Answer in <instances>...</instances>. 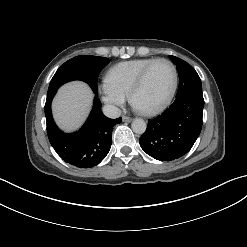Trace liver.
I'll list each match as a JSON object with an SVG mask.
<instances>
[{
    "label": "liver",
    "mask_w": 247,
    "mask_h": 247,
    "mask_svg": "<svg viewBox=\"0 0 247 247\" xmlns=\"http://www.w3.org/2000/svg\"><path fill=\"white\" fill-rule=\"evenodd\" d=\"M93 94L87 84L71 82L62 86L52 103L54 119L64 131L78 129L85 121Z\"/></svg>",
    "instance_id": "6515ba94"
}]
</instances>
